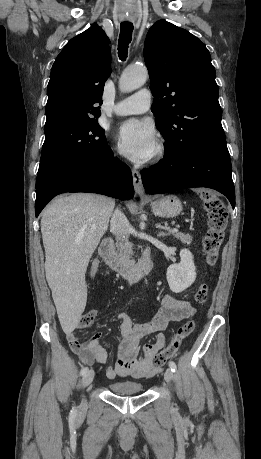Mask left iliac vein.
Segmentation results:
<instances>
[{
	"label": "left iliac vein",
	"mask_w": 261,
	"mask_h": 459,
	"mask_svg": "<svg viewBox=\"0 0 261 459\" xmlns=\"http://www.w3.org/2000/svg\"><path fill=\"white\" fill-rule=\"evenodd\" d=\"M173 378V372L171 371V369H167L164 373V379L166 380V382L170 383L173 380Z\"/></svg>",
	"instance_id": "left-iliac-vein-1"
}]
</instances>
